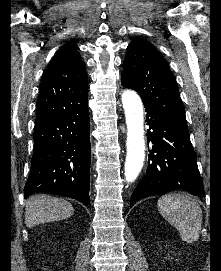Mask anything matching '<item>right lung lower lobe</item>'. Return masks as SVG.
<instances>
[{"label":"right lung lower lobe","mask_w":221,"mask_h":271,"mask_svg":"<svg viewBox=\"0 0 221 271\" xmlns=\"http://www.w3.org/2000/svg\"><path fill=\"white\" fill-rule=\"evenodd\" d=\"M88 106L35 125L34 152L24 198L50 193L90 203Z\"/></svg>","instance_id":"1"}]
</instances>
